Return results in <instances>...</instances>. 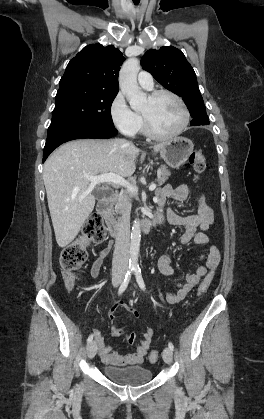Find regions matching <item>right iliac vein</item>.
<instances>
[{"instance_id":"1","label":"right iliac vein","mask_w":264,"mask_h":419,"mask_svg":"<svg viewBox=\"0 0 264 419\" xmlns=\"http://www.w3.org/2000/svg\"><path fill=\"white\" fill-rule=\"evenodd\" d=\"M122 281V276L117 275L113 279V285L118 286ZM97 352V346L94 341L90 342L87 346V356L88 358H93L96 355Z\"/></svg>"}]
</instances>
